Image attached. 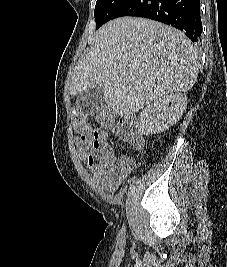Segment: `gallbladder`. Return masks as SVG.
<instances>
[{
    "label": "gallbladder",
    "mask_w": 227,
    "mask_h": 267,
    "mask_svg": "<svg viewBox=\"0 0 227 267\" xmlns=\"http://www.w3.org/2000/svg\"><path fill=\"white\" fill-rule=\"evenodd\" d=\"M105 90L103 87L88 89L77 96V108L87 114H98L104 107Z\"/></svg>",
    "instance_id": "gallbladder-1"
}]
</instances>
